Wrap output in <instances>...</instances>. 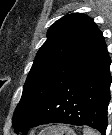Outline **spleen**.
<instances>
[{
    "label": "spleen",
    "mask_w": 112,
    "mask_h": 135,
    "mask_svg": "<svg viewBox=\"0 0 112 135\" xmlns=\"http://www.w3.org/2000/svg\"><path fill=\"white\" fill-rule=\"evenodd\" d=\"M84 135H98V133H95L93 130L85 129Z\"/></svg>",
    "instance_id": "obj_1"
}]
</instances>
